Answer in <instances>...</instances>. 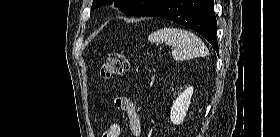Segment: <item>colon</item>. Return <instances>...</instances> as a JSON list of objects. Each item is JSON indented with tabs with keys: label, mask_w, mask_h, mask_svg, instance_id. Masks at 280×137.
Here are the masks:
<instances>
[{
	"label": "colon",
	"mask_w": 280,
	"mask_h": 137,
	"mask_svg": "<svg viewBox=\"0 0 280 137\" xmlns=\"http://www.w3.org/2000/svg\"><path fill=\"white\" fill-rule=\"evenodd\" d=\"M132 67L129 57L122 53H113L109 55L102 64L100 73L104 78L125 75ZM120 130L118 127L107 129L103 137H119Z\"/></svg>",
	"instance_id": "1"
}]
</instances>
